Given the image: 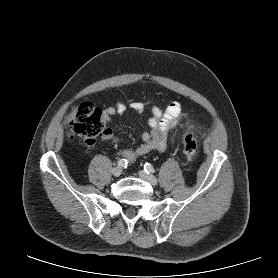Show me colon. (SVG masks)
I'll list each match as a JSON object with an SVG mask.
<instances>
[{"instance_id": "1", "label": "colon", "mask_w": 278, "mask_h": 278, "mask_svg": "<svg viewBox=\"0 0 278 278\" xmlns=\"http://www.w3.org/2000/svg\"><path fill=\"white\" fill-rule=\"evenodd\" d=\"M105 115L102 110L92 103L86 102L71 109L67 124L69 139L80 137L87 146H93L97 138L104 134ZM183 153L188 159H193L198 151L196 138L190 130L182 133Z\"/></svg>"}]
</instances>
